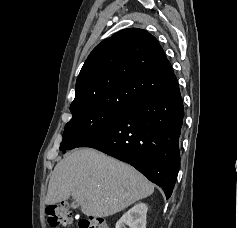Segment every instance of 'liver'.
<instances>
[{"instance_id":"1","label":"liver","mask_w":238,"mask_h":228,"mask_svg":"<svg viewBox=\"0 0 238 228\" xmlns=\"http://www.w3.org/2000/svg\"><path fill=\"white\" fill-rule=\"evenodd\" d=\"M153 192V184L130 165L94 149L81 148L55 166L46 204H56L72 196L83 214L107 217Z\"/></svg>"}]
</instances>
